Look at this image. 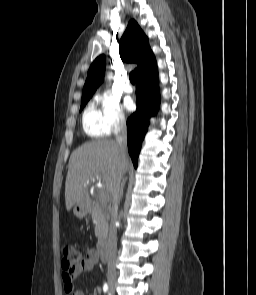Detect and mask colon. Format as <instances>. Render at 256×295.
Returning <instances> with one entry per match:
<instances>
[{
    "label": "colon",
    "mask_w": 256,
    "mask_h": 295,
    "mask_svg": "<svg viewBox=\"0 0 256 295\" xmlns=\"http://www.w3.org/2000/svg\"><path fill=\"white\" fill-rule=\"evenodd\" d=\"M81 261L80 254L71 245H63L61 248V265L64 270H73Z\"/></svg>",
    "instance_id": "5ec220e1"
}]
</instances>
